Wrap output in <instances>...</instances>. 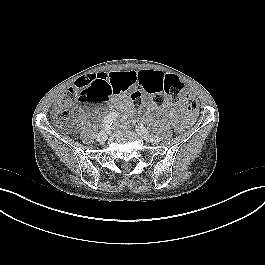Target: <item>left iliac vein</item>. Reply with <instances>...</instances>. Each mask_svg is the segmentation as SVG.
<instances>
[{"label": "left iliac vein", "mask_w": 265, "mask_h": 265, "mask_svg": "<svg viewBox=\"0 0 265 265\" xmlns=\"http://www.w3.org/2000/svg\"><path fill=\"white\" fill-rule=\"evenodd\" d=\"M136 132L145 140H150L149 132L143 127H136Z\"/></svg>", "instance_id": "1"}]
</instances>
